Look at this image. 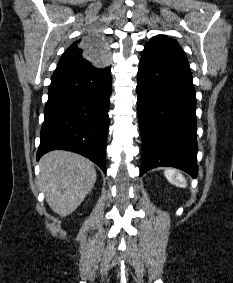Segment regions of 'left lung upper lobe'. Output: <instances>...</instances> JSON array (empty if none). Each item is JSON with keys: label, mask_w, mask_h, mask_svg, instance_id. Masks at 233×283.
I'll return each mask as SVG.
<instances>
[{"label": "left lung upper lobe", "mask_w": 233, "mask_h": 283, "mask_svg": "<svg viewBox=\"0 0 233 283\" xmlns=\"http://www.w3.org/2000/svg\"><path fill=\"white\" fill-rule=\"evenodd\" d=\"M145 46H157V47L170 46L181 49V47L179 46L176 40L171 39L165 35H157L153 37L148 43H146Z\"/></svg>", "instance_id": "5c2ea615"}]
</instances>
